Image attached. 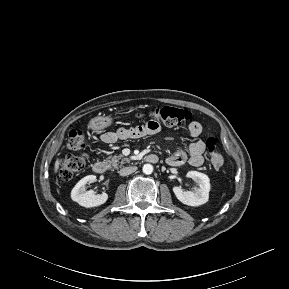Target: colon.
Segmentation results:
<instances>
[{"instance_id":"obj_1","label":"colon","mask_w":289,"mask_h":289,"mask_svg":"<svg viewBox=\"0 0 289 289\" xmlns=\"http://www.w3.org/2000/svg\"><path fill=\"white\" fill-rule=\"evenodd\" d=\"M142 119L149 121L162 122L167 126H178L185 123L191 118V113L187 110L174 107H160L148 111L147 113L139 114ZM65 147L68 150H81L84 147V133L79 129H74L69 132ZM207 148L210 152L211 164L214 168H221L224 159L219 151V143L216 137L210 136L207 139ZM87 161L86 154L69 155L60 166V177L63 181H69L77 176L85 167Z\"/></svg>"}]
</instances>
